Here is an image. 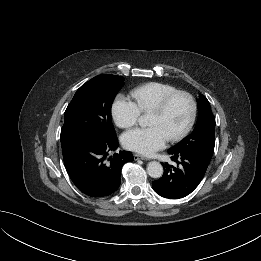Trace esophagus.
Returning <instances> with one entry per match:
<instances>
[{
	"label": "esophagus",
	"mask_w": 261,
	"mask_h": 261,
	"mask_svg": "<svg viewBox=\"0 0 261 261\" xmlns=\"http://www.w3.org/2000/svg\"><path fill=\"white\" fill-rule=\"evenodd\" d=\"M134 156V159L135 160H148V158H146V157H144V156H141V155H139V154H134L133 155Z\"/></svg>",
	"instance_id": "obj_1"
}]
</instances>
